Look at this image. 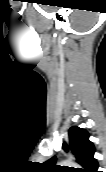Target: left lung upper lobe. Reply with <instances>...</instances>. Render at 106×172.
<instances>
[{"label": "left lung upper lobe", "mask_w": 106, "mask_h": 172, "mask_svg": "<svg viewBox=\"0 0 106 172\" xmlns=\"http://www.w3.org/2000/svg\"><path fill=\"white\" fill-rule=\"evenodd\" d=\"M69 145L76 161L83 167V169H77L76 172H97L98 163L93 157L95 147L93 143L89 141V134L85 129L77 126L71 127L69 129ZM63 149L68 151L66 143L63 144ZM55 163L56 157H53L46 161L44 165L52 172L67 171L63 169L64 167L57 166Z\"/></svg>", "instance_id": "obj_1"}]
</instances>
